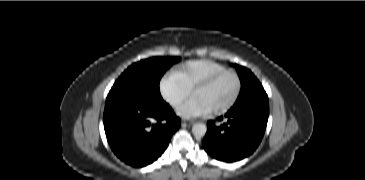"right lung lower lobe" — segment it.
I'll return each instance as SVG.
<instances>
[{
    "instance_id": "98d812e1",
    "label": "right lung lower lobe",
    "mask_w": 365,
    "mask_h": 180,
    "mask_svg": "<svg viewBox=\"0 0 365 180\" xmlns=\"http://www.w3.org/2000/svg\"><path fill=\"white\" fill-rule=\"evenodd\" d=\"M179 127L180 119L162 98L128 97L105 105L107 140L114 153L132 166L155 161Z\"/></svg>"
}]
</instances>
